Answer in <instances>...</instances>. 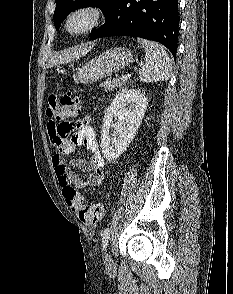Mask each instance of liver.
I'll use <instances>...</instances> for the list:
<instances>
[{
    "mask_svg": "<svg viewBox=\"0 0 233 294\" xmlns=\"http://www.w3.org/2000/svg\"><path fill=\"white\" fill-rule=\"evenodd\" d=\"M90 49H91V47L80 48V49H77L74 51L66 52L60 56H56L50 60L49 66L52 67V66L57 65L59 63H66V62H70L74 59H78L81 56L87 54Z\"/></svg>",
    "mask_w": 233,
    "mask_h": 294,
    "instance_id": "obj_1",
    "label": "liver"
}]
</instances>
